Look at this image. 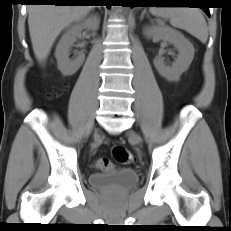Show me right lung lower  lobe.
<instances>
[{
	"label": "right lung lower lobe",
	"instance_id": "98d812e1",
	"mask_svg": "<svg viewBox=\"0 0 231 231\" xmlns=\"http://www.w3.org/2000/svg\"><path fill=\"white\" fill-rule=\"evenodd\" d=\"M28 3H52L55 5H76V2L71 1H78V0H25ZM109 8V6H107Z\"/></svg>",
	"mask_w": 231,
	"mask_h": 231
}]
</instances>
